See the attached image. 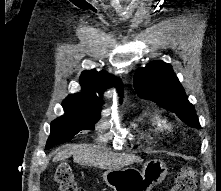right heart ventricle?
<instances>
[{
    "mask_svg": "<svg viewBox=\"0 0 221 191\" xmlns=\"http://www.w3.org/2000/svg\"><path fill=\"white\" fill-rule=\"evenodd\" d=\"M151 124L155 131L164 135H170L174 131L173 122L161 113H155L152 116Z\"/></svg>",
    "mask_w": 221,
    "mask_h": 191,
    "instance_id": "right-heart-ventricle-1",
    "label": "right heart ventricle"
}]
</instances>
